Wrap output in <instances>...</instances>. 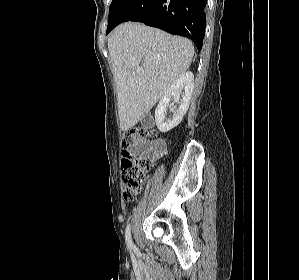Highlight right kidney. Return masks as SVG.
<instances>
[{"label": "right kidney", "instance_id": "ca27d5eb", "mask_svg": "<svg viewBox=\"0 0 299 280\" xmlns=\"http://www.w3.org/2000/svg\"><path fill=\"white\" fill-rule=\"evenodd\" d=\"M183 86L184 92H182ZM193 87L194 75L191 71H187L182 73L165 92L155 110V122L159 131L168 132L181 123L188 110L190 98L193 93ZM180 95L182 97L181 99ZM171 99L174 100V103L179 104L172 120L165 118L166 110Z\"/></svg>", "mask_w": 299, "mask_h": 280}]
</instances>
